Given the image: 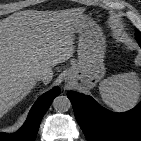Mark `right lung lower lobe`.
<instances>
[{
	"label": "right lung lower lobe",
	"mask_w": 141,
	"mask_h": 141,
	"mask_svg": "<svg viewBox=\"0 0 141 141\" xmlns=\"http://www.w3.org/2000/svg\"><path fill=\"white\" fill-rule=\"evenodd\" d=\"M59 94L60 89L55 87L53 90L40 96L33 105L21 129L11 135L0 133V141H34L44 114L50 107L53 99Z\"/></svg>",
	"instance_id": "right-lung-lower-lobe-1"
}]
</instances>
